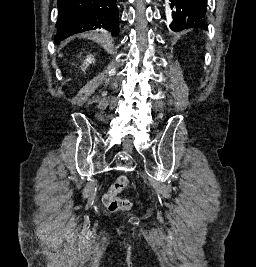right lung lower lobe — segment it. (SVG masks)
<instances>
[{"label": "right lung lower lobe", "mask_w": 256, "mask_h": 267, "mask_svg": "<svg viewBox=\"0 0 256 267\" xmlns=\"http://www.w3.org/2000/svg\"><path fill=\"white\" fill-rule=\"evenodd\" d=\"M56 23L57 43L71 35L105 28L117 36L119 33L116 0H58Z\"/></svg>", "instance_id": "right-lung-lower-lobe-1"}]
</instances>
